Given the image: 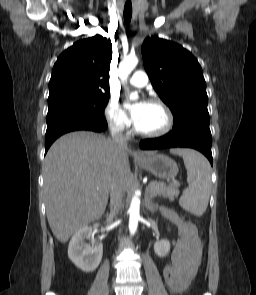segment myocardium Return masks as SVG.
Segmentation results:
<instances>
[{"mask_svg": "<svg viewBox=\"0 0 256 295\" xmlns=\"http://www.w3.org/2000/svg\"><path fill=\"white\" fill-rule=\"evenodd\" d=\"M147 104L155 105L163 111L165 115V123L162 126V128L155 131H141L135 126L134 127L135 132L140 136L148 137V138H156V137H161L166 135L172 129V126H173V115L171 110L162 100L158 98H150L147 101Z\"/></svg>", "mask_w": 256, "mask_h": 295, "instance_id": "f54148a6", "label": "myocardium"}]
</instances>
